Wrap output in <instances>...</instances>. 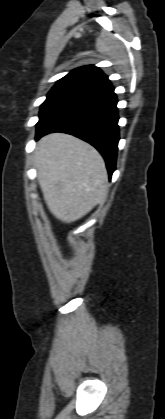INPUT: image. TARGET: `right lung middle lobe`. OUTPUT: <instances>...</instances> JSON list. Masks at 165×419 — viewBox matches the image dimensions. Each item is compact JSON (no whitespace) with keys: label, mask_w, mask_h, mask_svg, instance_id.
Returning <instances> with one entry per match:
<instances>
[{"label":"right lung middle lobe","mask_w":165,"mask_h":419,"mask_svg":"<svg viewBox=\"0 0 165 419\" xmlns=\"http://www.w3.org/2000/svg\"><path fill=\"white\" fill-rule=\"evenodd\" d=\"M80 97H82V95L77 92L52 88L47 95V99L41 105L37 127L41 125L49 115Z\"/></svg>","instance_id":"1"}]
</instances>
